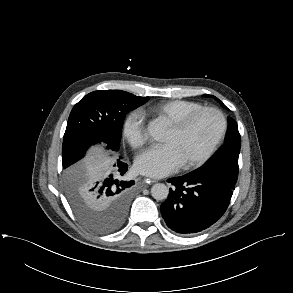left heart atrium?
I'll return each instance as SVG.
<instances>
[{"label":"left heart atrium","instance_id":"39dd6f15","mask_svg":"<svg viewBox=\"0 0 293 293\" xmlns=\"http://www.w3.org/2000/svg\"><path fill=\"white\" fill-rule=\"evenodd\" d=\"M182 157L172 144L153 146L135 160V170L150 177H163L183 165Z\"/></svg>","mask_w":293,"mask_h":293}]
</instances>
